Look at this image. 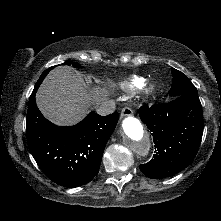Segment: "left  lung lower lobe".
Masks as SVG:
<instances>
[{"instance_id":"obj_1","label":"left lung lower lobe","mask_w":221,"mask_h":221,"mask_svg":"<svg viewBox=\"0 0 221 221\" xmlns=\"http://www.w3.org/2000/svg\"><path fill=\"white\" fill-rule=\"evenodd\" d=\"M139 116L152 132L155 156L140 170L149 178L161 179L185 169L195 158L204 122L199 99L182 95L165 104L144 105Z\"/></svg>"}]
</instances>
